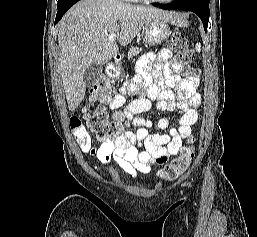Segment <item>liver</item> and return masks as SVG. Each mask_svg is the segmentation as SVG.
<instances>
[{
  "instance_id": "obj_1",
  "label": "liver",
  "mask_w": 257,
  "mask_h": 237,
  "mask_svg": "<svg viewBox=\"0 0 257 237\" xmlns=\"http://www.w3.org/2000/svg\"><path fill=\"white\" fill-rule=\"evenodd\" d=\"M181 24L178 14L159 9L122 3L118 0H81L69 9L58 24L61 77L68 108L75 110L82 102L86 87L85 70L93 63H108L118 52L116 41L126 46L152 19Z\"/></svg>"
}]
</instances>
